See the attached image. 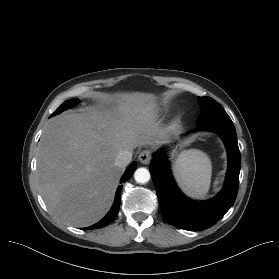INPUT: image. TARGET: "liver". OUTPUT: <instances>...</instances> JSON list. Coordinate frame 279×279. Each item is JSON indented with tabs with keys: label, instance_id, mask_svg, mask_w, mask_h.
Listing matches in <instances>:
<instances>
[{
	"label": "liver",
	"instance_id": "6515ba94",
	"mask_svg": "<svg viewBox=\"0 0 279 279\" xmlns=\"http://www.w3.org/2000/svg\"><path fill=\"white\" fill-rule=\"evenodd\" d=\"M110 101L113 108L89 107L52 118L41 136L40 192L49 212L71 226L92 225L108 212L122 175L115 165L121 151L169 141L154 95L120 93Z\"/></svg>",
	"mask_w": 279,
	"mask_h": 279
}]
</instances>
